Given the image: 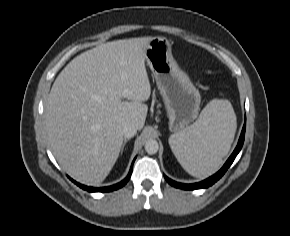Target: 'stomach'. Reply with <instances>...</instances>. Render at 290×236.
<instances>
[{
	"label": "stomach",
	"instance_id": "1",
	"mask_svg": "<svg viewBox=\"0 0 290 236\" xmlns=\"http://www.w3.org/2000/svg\"><path fill=\"white\" fill-rule=\"evenodd\" d=\"M145 60L162 96L169 129L178 132L188 128L200 110L201 95L173 58L170 42L164 37H153Z\"/></svg>",
	"mask_w": 290,
	"mask_h": 236
}]
</instances>
